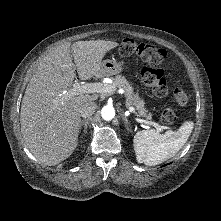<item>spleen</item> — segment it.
<instances>
[{"label": "spleen", "instance_id": "3e777b00", "mask_svg": "<svg viewBox=\"0 0 221 221\" xmlns=\"http://www.w3.org/2000/svg\"><path fill=\"white\" fill-rule=\"evenodd\" d=\"M194 123L186 121L179 130H168L164 134L154 129L138 131L133 138L136 160L153 166L173 157L185 145Z\"/></svg>", "mask_w": 221, "mask_h": 221}]
</instances>
